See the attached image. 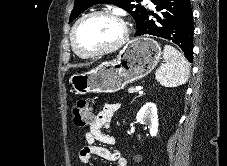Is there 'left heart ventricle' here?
Listing matches in <instances>:
<instances>
[{
	"mask_svg": "<svg viewBox=\"0 0 227 166\" xmlns=\"http://www.w3.org/2000/svg\"><path fill=\"white\" fill-rule=\"evenodd\" d=\"M122 35L120 24L107 16H93L77 28L75 41L82 51H95L115 44Z\"/></svg>",
	"mask_w": 227,
	"mask_h": 166,
	"instance_id": "obj_1",
	"label": "left heart ventricle"
}]
</instances>
